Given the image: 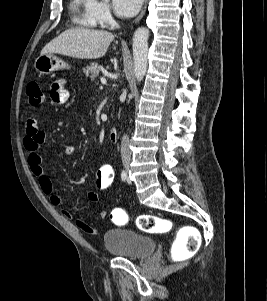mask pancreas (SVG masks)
I'll return each instance as SVG.
<instances>
[{
	"label": "pancreas",
	"instance_id": "pancreas-1",
	"mask_svg": "<svg viewBox=\"0 0 267 301\" xmlns=\"http://www.w3.org/2000/svg\"><path fill=\"white\" fill-rule=\"evenodd\" d=\"M86 76L93 81L100 73L101 67L97 63H91L83 69Z\"/></svg>",
	"mask_w": 267,
	"mask_h": 301
}]
</instances>
